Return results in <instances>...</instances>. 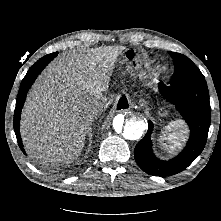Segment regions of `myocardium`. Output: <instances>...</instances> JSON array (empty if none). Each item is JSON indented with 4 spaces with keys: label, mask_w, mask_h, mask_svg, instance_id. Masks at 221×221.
<instances>
[{
    "label": "myocardium",
    "mask_w": 221,
    "mask_h": 221,
    "mask_svg": "<svg viewBox=\"0 0 221 221\" xmlns=\"http://www.w3.org/2000/svg\"><path fill=\"white\" fill-rule=\"evenodd\" d=\"M156 70H157V72H162L163 71L162 65H157Z\"/></svg>",
    "instance_id": "obj_1"
}]
</instances>
